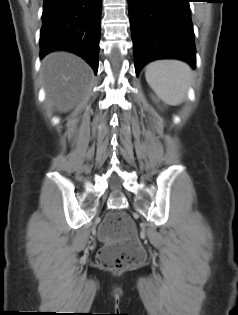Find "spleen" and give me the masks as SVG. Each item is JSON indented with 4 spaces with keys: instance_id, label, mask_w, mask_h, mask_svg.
Returning a JSON list of instances; mask_svg holds the SVG:
<instances>
[{
    "instance_id": "obj_1",
    "label": "spleen",
    "mask_w": 238,
    "mask_h": 315,
    "mask_svg": "<svg viewBox=\"0 0 238 315\" xmlns=\"http://www.w3.org/2000/svg\"><path fill=\"white\" fill-rule=\"evenodd\" d=\"M152 90L167 104L179 105L187 99L193 77L191 68L179 60H157L145 68Z\"/></svg>"
}]
</instances>
